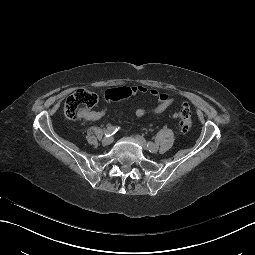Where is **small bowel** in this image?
Wrapping results in <instances>:
<instances>
[{
    "label": "small bowel",
    "mask_w": 255,
    "mask_h": 255,
    "mask_svg": "<svg viewBox=\"0 0 255 255\" xmlns=\"http://www.w3.org/2000/svg\"><path fill=\"white\" fill-rule=\"evenodd\" d=\"M133 90V93H139V94H149L150 96L157 99V104L154 108L151 110H147L145 108H138L133 109L131 106H129V111L132 115H134L137 118H142L148 113H152L156 116L163 113L167 108L172 106V104L175 101L174 96L167 92L160 91L155 88L147 89L143 86H137L131 88ZM107 106L103 107L100 110H92L84 113L81 118L88 120V121H95L100 118H102L107 113Z\"/></svg>",
    "instance_id": "small-bowel-1"
}]
</instances>
